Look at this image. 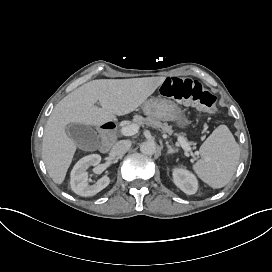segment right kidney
<instances>
[{"label": "right kidney", "mask_w": 272, "mask_h": 272, "mask_svg": "<svg viewBox=\"0 0 272 272\" xmlns=\"http://www.w3.org/2000/svg\"><path fill=\"white\" fill-rule=\"evenodd\" d=\"M101 163V156L98 154H92L79 160L74 166L71 172V188L77 194L81 196H94L103 189H105L110 183V177L107 175L102 176L94 185H88L89 172L87 169L91 166L96 167ZM100 169H94V173H101Z\"/></svg>", "instance_id": "ca27d5eb"}]
</instances>
